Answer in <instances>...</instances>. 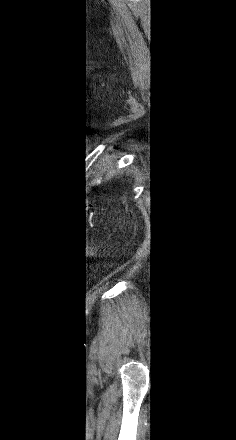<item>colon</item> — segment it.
<instances>
[{
  "instance_id": "5ec220e1",
  "label": "colon",
  "mask_w": 236,
  "mask_h": 440,
  "mask_svg": "<svg viewBox=\"0 0 236 440\" xmlns=\"http://www.w3.org/2000/svg\"><path fill=\"white\" fill-rule=\"evenodd\" d=\"M81 212H82V214H84V215L89 214L90 209H89V207H88L87 204H82V205H81Z\"/></svg>"
}]
</instances>
